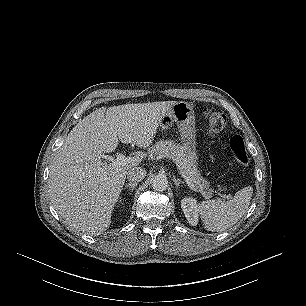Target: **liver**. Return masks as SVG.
Here are the masks:
<instances>
[{
	"instance_id": "obj_1",
	"label": "liver",
	"mask_w": 306,
	"mask_h": 306,
	"mask_svg": "<svg viewBox=\"0 0 306 306\" xmlns=\"http://www.w3.org/2000/svg\"><path fill=\"white\" fill-rule=\"evenodd\" d=\"M176 101L125 104L99 108L68 134L50 166L48 188L53 206L65 223L83 233L99 235L111 223L127 172L136 162L113 167L102 162V153L119 144L148 148L159 123Z\"/></svg>"
}]
</instances>
